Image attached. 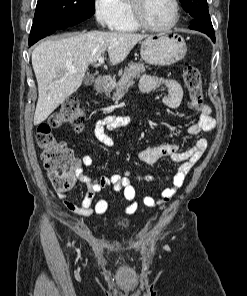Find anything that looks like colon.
I'll use <instances>...</instances> for the list:
<instances>
[{
    "label": "colon",
    "mask_w": 247,
    "mask_h": 296,
    "mask_svg": "<svg viewBox=\"0 0 247 296\" xmlns=\"http://www.w3.org/2000/svg\"><path fill=\"white\" fill-rule=\"evenodd\" d=\"M183 78L190 95V108L198 110L203 103L200 71L195 65L189 64ZM85 119V112L78 99L70 97L58 107L47 122L41 123L37 128L36 140L41 149V159L53 187L58 191L68 190L75 184L79 162L73 151L57 139L52 130L70 125L76 131H80Z\"/></svg>",
    "instance_id": "colon-1"
}]
</instances>
